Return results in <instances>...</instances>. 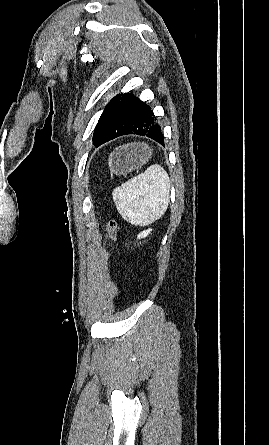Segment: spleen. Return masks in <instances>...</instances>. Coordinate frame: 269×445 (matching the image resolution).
<instances>
[{
    "label": "spleen",
    "mask_w": 269,
    "mask_h": 445,
    "mask_svg": "<svg viewBox=\"0 0 269 445\" xmlns=\"http://www.w3.org/2000/svg\"><path fill=\"white\" fill-rule=\"evenodd\" d=\"M170 179L158 164L148 167L113 192L119 214L127 222L145 226L159 219L169 204Z\"/></svg>",
    "instance_id": "1"
}]
</instances>
